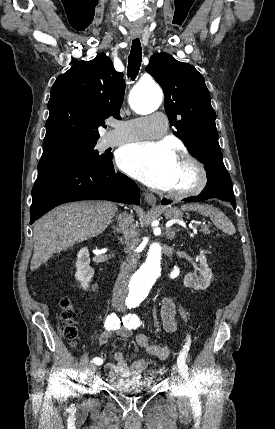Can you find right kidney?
Instances as JSON below:
<instances>
[{"label": "right kidney", "instance_id": "ca27d5eb", "mask_svg": "<svg viewBox=\"0 0 275 429\" xmlns=\"http://www.w3.org/2000/svg\"><path fill=\"white\" fill-rule=\"evenodd\" d=\"M89 250L84 247L77 254L75 278L81 283L84 290L89 288V283L94 276V270L90 267Z\"/></svg>", "mask_w": 275, "mask_h": 429}]
</instances>
